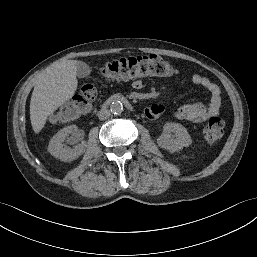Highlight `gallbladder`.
I'll return each instance as SVG.
<instances>
[{"mask_svg": "<svg viewBox=\"0 0 257 257\" xmlns=\"http://www.w3.org/2000/svg\"><path fill=\"white\" fill-rule=\"evenodd\" d=\"M91 72L89 65L83 61H79L77 64V76L79 78L87 77Z\"/></svg>", "mask_w": 257, "mask_h": 257, "instance_id": "1", "label": "gallbladder"}]
</instances>
